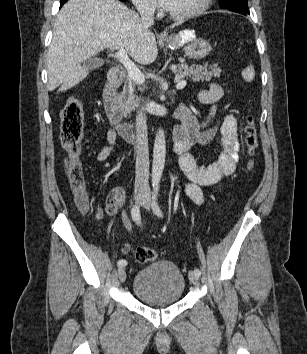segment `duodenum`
Wrapping results in <instances>:
<instances>
[{"label": "duodenum", "instance_id": "obj_1", "mask_svg": "<svg viewBox=\"0 0 307 354\" xmlns=\"http://www.w3.org/2000/svg\"><path fill=\"white\" fill-rule=\"evenodd\" d=\"M124 80V73L120 69H111L105 83L102 101L108 120L118 135L126 142L131 143L134 140L135 132L132 123L123 122V109L120 98L117 93L118 87Z\"/></svg>", "mask_w": 307, "mask_h": 354}]
</instances>
